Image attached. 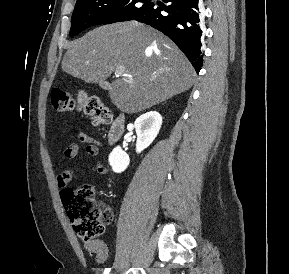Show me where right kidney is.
I'll use <instances>...</instances> for the list:
<instances>
[{
	"mask_svg": "<svg viewBox=\"0 0 289 274\" xmlns=\"http://www.w3.org/2000/svg\"><path fill=\"white\" fill-rule=\"evenodd\" d=\"M162 125V116L156 111L147 112L139 116L134 123L137 133L136 152L141 153L157 137ZM130 158L120 146L109 155V164L116 173L123 172L129 165Z\"/></svg>",
	"mask_w": 289,
	"mask_h": 274,
	"instance_id": "right-kidney-1",
	"label": "right kidney"
}]
</instances>
